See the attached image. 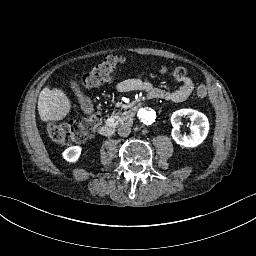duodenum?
I'll use <instances>...</instances> for the list:
<instances>
[{
    "label": "duodenum",
    "mask_w": 256,
    "mask_h": 256,
    "mask_svg": "<svg viewBox=\"0 0 256 256\" xmlns=\"http://www.w3.org/2000/svg\"><path fill=\"white\" fill-rule=\"evenodd\" d=\"M148 104L147 99L142 98L138 101L137 105L133 106L132 110L127 111L126 116L129 119L134 118L135 114L140 113L141 109L146 108ZM114 133V127L112 124H106L100 127L99 134L103 137H110Z\"/></svg>",
    "instance_id": "obj_1"
}]
</instances>
